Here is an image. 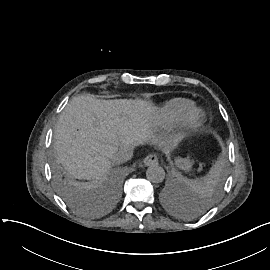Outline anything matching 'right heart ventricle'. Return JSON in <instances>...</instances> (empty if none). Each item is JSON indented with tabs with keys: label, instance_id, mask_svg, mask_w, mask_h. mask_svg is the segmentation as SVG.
Wrapping results in <instances>:
<instances>
[{
	"label": "right heart ventricle",
	"instance_id": "right-heart-ventricle-1",
	"mask_svg": "<svg viewBox=\"0 0 270 270\" xmlns=\"http://www.w3.org/2000/svg\"><path fill=\"white\" fill-rule=\"evenodd\" d=\"M194 107V102L182 98L169 100L160 110L158 117L164 124L178 123Z\"/></svg>",
	"mask_w": 270,
	"mask_h": 270
}]
</instances>
